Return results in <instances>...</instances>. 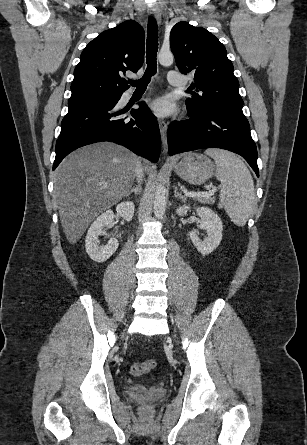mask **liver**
<instances>
[{
	"label": "liver",
	"instance_id": "6515ba94",
	"mask_svg": "<svg viewBox=\"0 0 307 445\" xmlns=\"http://www.w3.org/2000/svg\"><path fill=\"white\" fill-rule=\"evenodd\" d=\"M138 158L114 144L96 142L68 154L54 176V198L63 233L74 245L92 220L129 192Z\"/></svg>",
	"mask_w": 307,
	"mask_h": 445
}]
</instances>
